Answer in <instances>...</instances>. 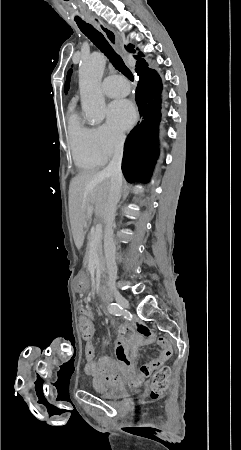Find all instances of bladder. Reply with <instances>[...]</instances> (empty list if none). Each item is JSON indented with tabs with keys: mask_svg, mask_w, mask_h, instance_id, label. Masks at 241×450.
Here are the masks:
<instances>
[{
	"mask_svg": "<svg viewBox=\"0 0 241 450\" xmlns=\"http://www.w3.org/2000/svg\"><path fill=\"white\" fill-rule=\"evenodd\" d=\"M123 394H124V389L121 386H117V385L112 386L108 390L103 392V395L105 397H109V398L121 397Z\"/></svg>",
	"mask_w": 241,
	"mask_h": 450,
	"instance_id": "1",
	"label": "bladder"
}]
</instances>
